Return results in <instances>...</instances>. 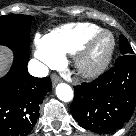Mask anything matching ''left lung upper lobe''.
I'll return each mask as SVG.
<instances>
[{"mask_svg": "<svg viewBox=\"0 0 136 136\" xmlns=\"http://www.w3.org/2000/svg\"><path fill=\"white\" fill-rule=\"evenodd\" d=\"M121 55L133 54V50L124 36L119 37Z\"/></svg>", "mask_w": 136, "mask_h": 136, "instance_id": "5c2ea615", "label": "left lung upper lobe"}]
</instances>
